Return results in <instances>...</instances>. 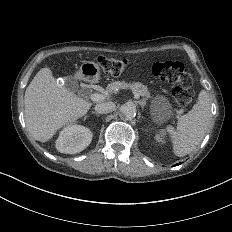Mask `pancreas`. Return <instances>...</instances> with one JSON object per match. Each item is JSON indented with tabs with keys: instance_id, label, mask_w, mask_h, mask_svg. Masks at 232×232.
I'll return each instance as SVG.
<instances>
[{
	"instance_id": "1",
	"label": "pancreas",
	"mask_w": 232,
	"mask_h": 232,
	"mask_svg": "<svg viewBox=\"0 0 232 232\" xmlns=\"http://www.w3.org/2000/svg\"><path fill=\"white\" fill-rule=\"evenodd\" d=\"M119 89H131L133 93H137L143 97L142 100H147L151 97L150 92L148 91L147 86L143 85L140 82L135 83H126L125 81H114L107 85L106 91L108 94L117 93Z\"/></svg>"
}]
</instances>
